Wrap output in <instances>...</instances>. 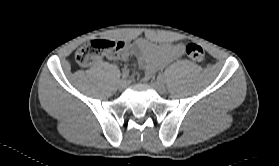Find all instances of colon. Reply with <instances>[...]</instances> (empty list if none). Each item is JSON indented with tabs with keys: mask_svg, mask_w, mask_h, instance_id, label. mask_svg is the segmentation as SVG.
<instances>
[{
	"mask_svg": "<svg viewBox=\"0 0 279 166\" xmlns=\"http://www.w3.org/2000/svg\"><path fill=\"white\" fill-rule=\"evenodd\" d=\"M126 48L124 42H114L108 39H94L79 48L75 54L78 65L87 67L94 64L102 56L119 53ZM185 53L193 62L202 63L205 60V51L195 43H189L185 47Z\"/></svg>",
	"mask_w": 279,
	"mask_h": 166,
	"instance_id": "1",
	"label": "colon"
}]
</instances>
